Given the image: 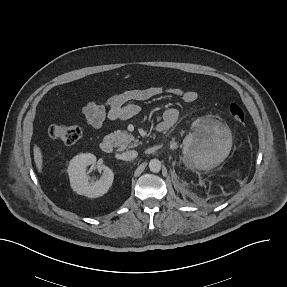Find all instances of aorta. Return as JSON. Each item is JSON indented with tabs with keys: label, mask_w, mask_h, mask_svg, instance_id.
Instances as JSON below:
<instances>
[{
	"label": "aorta",
	"mask_w": 287,
	"mask_h": 287,
	"mask_svg": "<svg viewBox=\"0 0 287 287\" xmlns=\"http://www.w3.org/2000/svg\"><path fill=\"white\" fill-rule=\"evenodd\" d=\"M151 172L158 173L161 170V162L158 159H152L149 162Z\"/></svg>",
	"instance_id": "1"
}]
</instances>
